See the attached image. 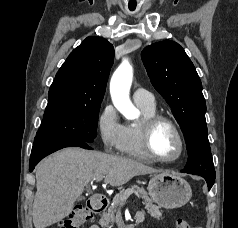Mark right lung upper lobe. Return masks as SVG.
<instances>
[{"mask_svg": "<svg viewBox=\"0 0 238 228\" xmlns=\"http://www.w3.org/2000/svg\"><path fill=\"white\" fill-rule=\"evenodd\" d=\"M113 59L112 44L101 37H87L57 72L44 114L68 107L100 105Z\"/></svg>", "mask_w": 238, "mask_h": 228, "instance_id": "obj_1", "label": "right lung upper lobe"}]
</instances>
